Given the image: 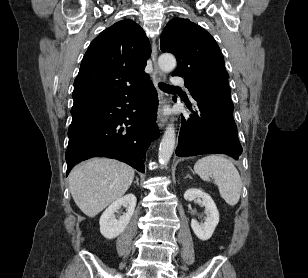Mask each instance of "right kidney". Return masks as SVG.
I'll return each instance as SVG.
<instances>
[{"label": "right kidney", "mask_w": 308, "mask_h": 278, "mask_svg": "<svg viewBox=\"0 0 308 278\" xmlns=\"http://www.w3.org/2000/svg\"><path fill=\"white\" fill-rule=\"evenodd\" d=\"M136 197L133 194L125 195L113 202L100 217V232L107 239L119 236L126 228L136 207ZM126 208V213L116 219V213L121 207Z\"/></svg>", "instance_id": "right-kidney-1"}]
</instances>
